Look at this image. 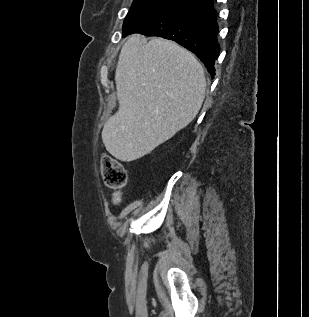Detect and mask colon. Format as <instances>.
<instances>
[{"mask_svg":"<svg viewBox=\"0 0 309 317\" xmlns=\"http://www.w3.org/2000/svg\"><path fill=\"white\" fill-rule=\"evenodd\" d=\"M101 171L105 184L115 190L114 202L120 201V190L127 182V173L123 165L117 160L105 156L101 160Z\"/></svg>","mask_w":309,"mask_h":317,"instance_id":"1","label":"colon"}]
</instances>
